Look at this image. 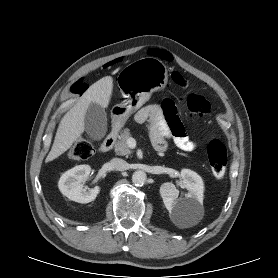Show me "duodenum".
<instances>
[{
	"label": "duodenum",
	"mask_w": 278,
	"mask_h": 278,
	"mask_svg": "<svg viewBox=\"0 0 278 278\" xmlns=\"http://www.w3.org/2000/svg\"><path fill=\"white\" fill-rule=\"evenodd\" d=\"M119 126L115 125L112 130L110 131V133L106 136V138L104 139V141L102 142L101 146H100V151L105 153L110 151L117 139L118 136V132H119Z\"/></svg>",
	"instance_id": "1"
}]
</instances>
